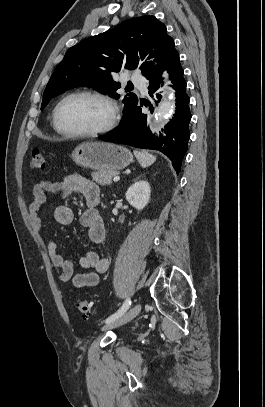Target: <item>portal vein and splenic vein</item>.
Returning a JSON list of instances; mask_svg holds the SVG:
<instances>
[{
  "label": "portal vein and splenic vein",
  "mask_w": 265,
  "mask_h": 407,
  "mask_svg": "<svg viewBox=\"0 0 265 407\" xmlns=\"http://www.w3.org/2000/svg\"><path fill=\"white\" fill-rule=\"evenodd\" d=\"M120 180V177L119 176H114V178H113V181H119Z\"/></svg>",
  "instance_id": "18ae733b"
}]
</instances>
